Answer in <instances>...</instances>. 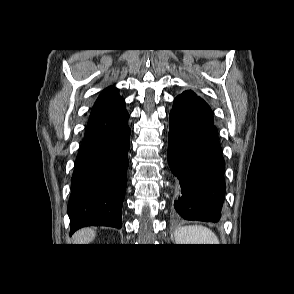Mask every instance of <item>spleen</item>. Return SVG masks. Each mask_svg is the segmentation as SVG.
<instances>
[{"mask_svg":"<svg viewBox=\"0 0 294 294\" xmlns=\"http://www.w3.org/2000/svg\"><path fill=\"white\" fill-rule=\"evenodd\" d=\"M174 237L176 244H219V239L214 232L202 225L179 227L176 229Z\"/></svg>","mask_w":294,"mask_h":294,"instance_id":"1","label":"spleen"}]
</instances>
